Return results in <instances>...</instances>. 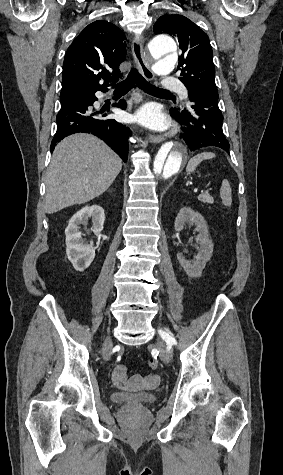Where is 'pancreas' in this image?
Masks as SVG:
<instances>
[{
    "label": "pancreas",
    "instance_id": "obj_1",
    "mask_svg": "<svg viewBox=\"0 0 283 475\" xmlns=\"http://www.w3.org/2000/svg\"><path fill=\"white\" fill-rule=\"evenodd\" d=\"M198 200H200V202H205V204H213L214 202L210 194H200V196H198Z\"/></svg>",
    "mask_w": 283,
    "mask_h": 475
}]
</instances>
